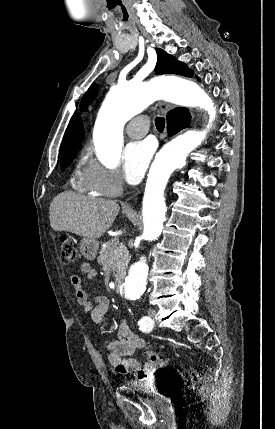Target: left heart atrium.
<instances>
[{
  "label": "left heart atrium",
  "mask_w": 275,
  "mask_h": 429,
  "mask_svg": "<svg viewBox=\"0 0 275 429\" xmlns=\"http://www.w3.org/2000/svg\"><path fill=\"white\" fill-rule=\"evenodd\" d=\"M154 149V144L150 140L135 141L126 146L122 157V168L128 183L137 184L142 179Z\"/></svg>",
  "instance_id": "39dd6f15"
}]
</instances>
